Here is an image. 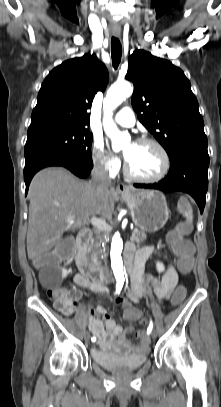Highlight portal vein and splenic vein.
<instances>
[{
  "label": "portal vein and splenic vein",
  "instance_id": "portal-vein-and-splenic-vein-1",
  "mask_svg": "<svg viewBox=\"0 0 221 407\" xmlns=\"http://www.w3.org/2000/svg\"><path fill=\"white\" fill-rule=\"evenodd\" d=\"M73 220H74L73 216L68 217L69 222H73ZM90 222L93 226H95L96 228H98L99 230H102V231H110L112 229L109 224H107L104 220L97 218V217H92ZM137 230L138 229H134V231H137Z\"/></svg>",
  "mask_w": 221,
  "mask_h": 407
}]
</instances>
